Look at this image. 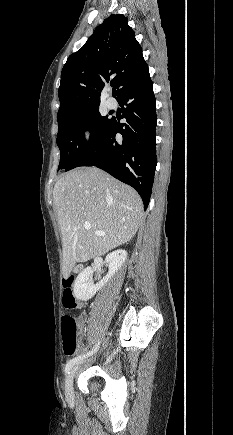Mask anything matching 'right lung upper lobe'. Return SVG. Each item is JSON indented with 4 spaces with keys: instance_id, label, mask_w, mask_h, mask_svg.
I'll return each mask as SVG.
<instances>
[{
    "instance_id": "obj_1",
    "label": "right lung upper lobe",
    "mask_w": 233,
    "mask_h": 435,
    "mask_svg": "<svg viewBox=\"0 0 233 435\" xmlns=\"http://www.w3.org/2000/svg\"><path fill=\"white\" fill-rule=\"evenodd\" d=\"M135 33L122 14L99 25L84 46L69 56L58 90L57 119L75 116L99 106L100 92L113 76L116 99L130 83L148 74Z\"/></svg>"
}]
</instances>
